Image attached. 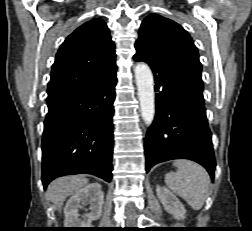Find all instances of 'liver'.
Wrapping results in <instances>:
<instances>
[{"mask_svg": "<svg viewBox=\"0 0 252 231\" xmlns=\"http://www.w3.org/2000/svg\"><path fill=\"white\" fill-rule=\"evenodd\" d=\"M88 184L84 176L61 177L50 183L47 196L54 208L61 211L64 200Z\"/></svg>", "mask_w": 252, "mask_h": 231, "instance_id": "obj_1", "label": "liver"}]
</instances>
